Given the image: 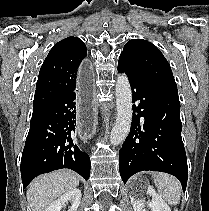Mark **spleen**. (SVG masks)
Instances as JSON below:
<instances>
[{
	"label": "spleen",
	"instance_id": "obj_1",
	"mask_svg": "<svg viewBox=\"0 0 209 211\" xmlns=\"http://www.w3.org/2000/svg\"><path fill=\"white\" fill-rule=\"evenodd\" d=\"M154 182L160 196L169 204L177 205L180 202L182 188L177 178L160 172L156 174Z\"/></svg>",
	"mask_w": 209,
	"mask_h": 211
}]
</instances>
